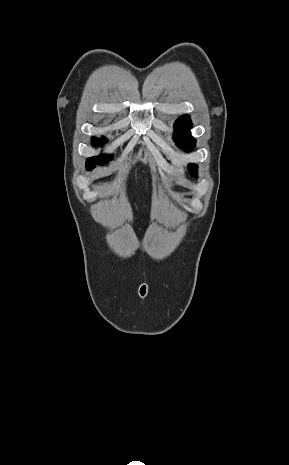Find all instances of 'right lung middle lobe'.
I'll return each mask as SVG.
<instances>
[{"mask_svg": "<svg viewBox=\"0 0 289 465\" xmlns=\"http://www.w3.org/2000/svg\"><path fill=\"white\" fill-rule=\"evenodd\" d=\"M104 141H105V138H104V137H103L102 139H96V138H93V139H92V143H93L94 145H96V146H97V145H100V144H102V143H104ZM105 160H106V158L103 157V156H98V157L89 158V159L87 160V162H86V168H87L88 170H91V169H93V168L96 166V164H103V163H105Z\"/></svg>", "mask_w": 289, "mask_h": 465, "instance_id": "dd1d6c3e", "label": "right lung middle lobe"}]
</instances>
